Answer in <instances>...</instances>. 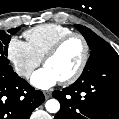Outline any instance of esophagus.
I'll return each instance as SVG.
<instances>
[{"mask_svg": "<svg viewBox=\"0 0 119 119\" xmlns=\"http://www.w3.org/2000/svg\"><path fill=\"white\" fill-rule=\"evenodd\" d=\"M44 96L46 99L51 97V92L50 91H44Z\"/></svg>", "mask_w": 119, "mask_h": 119, "instance_id": "1", "label": "esophagus"}]
</instances>
